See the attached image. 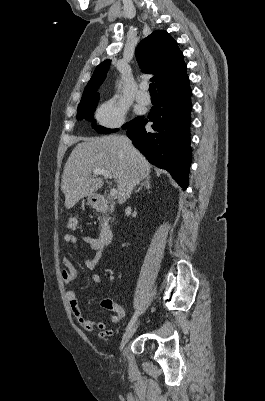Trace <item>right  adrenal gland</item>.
Returning a JSON list of instances; mask_svg holds the SVG:
<instances>
[{
	"label": "right adrenal gland",
	"mask_w": 265,
	"mask_h": 401,
	"mask_svg": "<svg viewBox=\"0 0 265 401\" xmlns=\"http://www.w3.org/2000/svg\"><path fill=\"white\" fill-rule=\"evenodd\" d=\"M151 176H145L144 182H140V186H138L137 190L135 192H139L141 190L142 186H145V188H151Z\"/></svg>",
	"instance_id": "obj_1"
}]
</instances>
